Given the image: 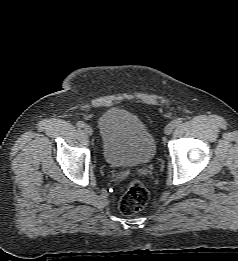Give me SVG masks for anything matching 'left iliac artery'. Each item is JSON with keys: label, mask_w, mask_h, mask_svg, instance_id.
<instances>
[{"label": "left iliac artery", "mask_w": 238, "mask_h": 261, "mask_svg": "<svg viewBox=\"0 0 238 261\" xmlns=\"http://www.w3.org/2000/svg\"><path fill=\"white\" fill-rule=\"evenodd\" d=\"M175 126H179L182 123V118H177L173 121Z\"/></svg>", "instance_id": "1"}]
</instances>
